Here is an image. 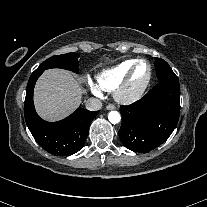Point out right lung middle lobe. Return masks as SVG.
<instances>
[{
  "label": "right lung middle lobe",
  "mask_w": 207,
  "mask_h": 207,
  "mask_svg": "<svg viewBox=\"0 0 207 207\" xmlns=\"http://www.w3.org/2000/svg\"><path fill=\"white\" fill-rule=\"evenodd\" d=\"M78 58L76 53H67L53 56L44 61L34 72H43L50 68H63L70 71L78 72Z\"/></svg>",
  "instance_id": "dd1d6c3e"
}]
</instances>
